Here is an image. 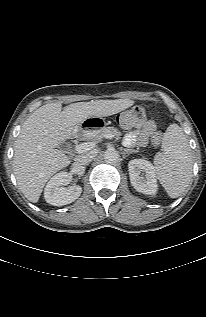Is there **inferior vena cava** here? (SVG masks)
Instances as JSON below:
<instances>
[{"mask_svg":"<svg viewBox=\"0 0 206 317\" xmlns=\"http://www.w3.org/2000/svg\"><path fill=\"white\" fill-rule=\"evenodd\" d=\"M95 156H96V153L94 151H90V152H86V153H82L80 155H77L75 158V161L78 164L85 165V164L90 163L94 159Z\"/></svg>","mask_w":206,"mask_h":317,"instance_id":"inferior-vena-cava-1","label":"inferior vena cava"}]
</instances>
